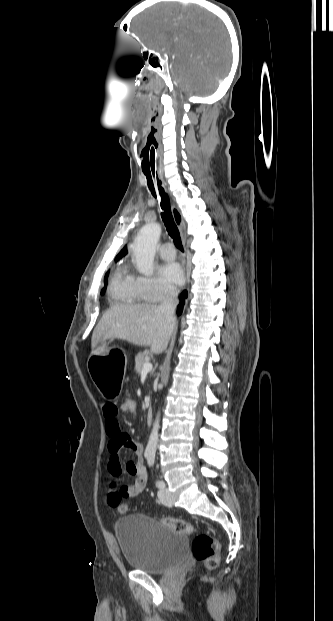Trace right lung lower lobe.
Returning <instances> with one entry per match:
<instances>
[{"instance_id":"right-lung-lower-lobe-1","label":"right lung lower lobe","mask_w":333,"mask_h":621,"mask_svg":"<svg viewBox=\"0 0 333 621\" xmlns=\"http://www.w3.org/2000/svg\"><path fill=\"white\" fill-rule=\"evenodd\" d=\"M187 295H188V294H187V291H186V290H184V291L180 294V297H179L180 303H179V305H178V307H177V312H178V314H181V313H182L183 306H184V303H185V299L187 298Z\"/></svg>"}]
</instances>
